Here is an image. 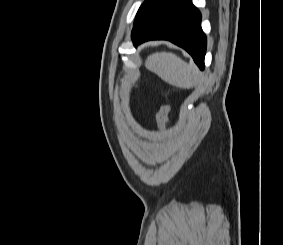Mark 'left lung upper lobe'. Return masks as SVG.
<instances>
[{
    "label": "left lung upper lobe",
    "instance_id": "obj_1",
    "mask_svg": "<svg viewBox=\"0 0 283 245\" xmlns=\"http://www.w3.org/2000/svg\"><path fill=\"white\" fill-rule=\"evenodd\" d=\"M175 0H146L137 12L132 30V40L151 28Z\"/></svg>",
    "mask_w": 283,
    "mask_h": 245
}]
</instances>
